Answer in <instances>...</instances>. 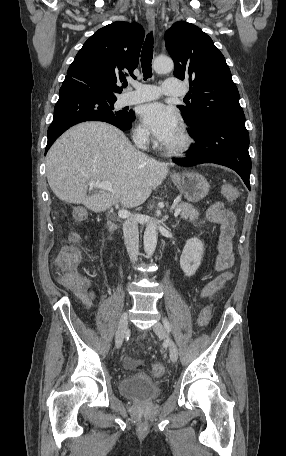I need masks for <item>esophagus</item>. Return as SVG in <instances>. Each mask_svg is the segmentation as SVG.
I'll list each match as a JSON object with an SVG mask.
<instances>
[{
  "label": "esophagus",
  "instance_id": "1",
  "mask_svg": "<svg viewBox=\"0 0 286 456\" xmlns=\"http://www.w3.org/2000/svg\"><path fill=\"white\" fill-rule=\"evenodd\" d=\"M146 19L148 21V23L151 25V26H154L155 24V12L154 11H147L146 12Z\"/></svg>",
  "mask_w": 286,
  "mask_h": 456
}]
</instances>
